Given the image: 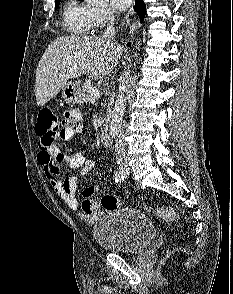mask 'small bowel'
I'll return each instance as SVG.
<instances>
[{
  "label": "small bowel",
  "instance_id": "1",
  "mask_svg": "<svg viewBox=\"0 0 233 294\" xmlns=\"http://www.w3.org/2000/svg\"><path fill=\"white\" fill-rule=\"evenodd\" d=\"M64 131L58 137L61 141H70L76 134L83 131L82 115L78 110H69L65 113V121H61ZM49 154V157L48 155ZM48 182L54 192L72 210H78L80 205L76 196L77 176L61 178L59 168L65 165L72 169H79L80 175L89 173L94 168V161L82 152L64 154L53 146L51 149H42L38 155ZM99 186L90 185L83 191L84 201L81 204L80 217L87 223H94L101 213V206L93 196L98 192Z\"/></svg>",
  "mask_w": 233,
  "mask_h": 294
}]
</instances>
